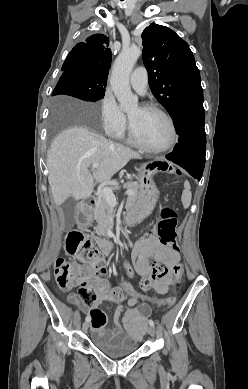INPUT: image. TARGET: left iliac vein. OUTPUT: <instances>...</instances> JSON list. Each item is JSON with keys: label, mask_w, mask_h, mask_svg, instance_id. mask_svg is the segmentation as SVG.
<instances>
[{"label": "left iliac vein", "mask_w": 248, "mask_h": 389, "mask_svg": "<svg viewBox=\"0 0 248 389\" xmlns=\"http://www.w3.org/2000/svg\"><path fill=\"white\" fill-rule=\"evenodd\" d=\"M148 333L150 334V336L151 337H155V334H156V332H155V328L153 327V326H149V328H148Z\"/></svg>", "instance_id": "left-iliac-vein-1"}]
</instances>
